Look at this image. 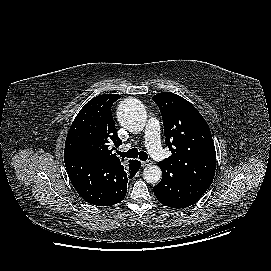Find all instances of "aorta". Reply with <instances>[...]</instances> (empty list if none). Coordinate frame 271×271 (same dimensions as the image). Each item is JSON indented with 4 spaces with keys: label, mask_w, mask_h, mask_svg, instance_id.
I'll return each instance as SVG.
<instances>
[{
    "label": "aorta",
    "mask_w": 271,
    "mask_h": 271,
    "mask_svg": "<svg viewBox=\"0 0 271 271\" xmlns=\"http://www.w3.org/2000/svg\"><path fill=\"white\" fill-rule=\"evenodd\" d=\"M117 119L130 132H139L146 125V111L137 99H125L118 106ZM162 171L157 165H148L143 171V178L147 183H157Z\"/></svg>",
    "instance_id": "1"
}]
</instances>
